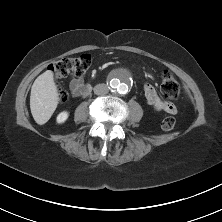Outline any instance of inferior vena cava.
Wrapping results in <instances>:
<instances>
[{
  "label": "inferior vena cava",
  "mask_w": 222,
  "mask_h": 222,
  "mask_svg": "<svg viewBox=\"0 0 222 222\" xmlns=\"http://www.w3.org/2000/svg\"><path fill=\"white\" fill-rule=\"evenodd\" d=\"M109 92V86L102 83V84H97L94 87V93L96 95H106Z\"/></svg>",
  "instance_id": "obj_1"
}]
</instances>
